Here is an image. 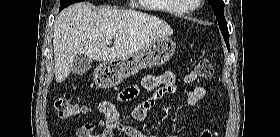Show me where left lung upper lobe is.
Returning <instances> with one entry per match:
<instances>
[{
    "label": "left lung upper lobe",
    "mask_w": 280,
    "mask_h": 137,
    "mask_svg": "<svg viewBox=\"0 0 280 137\" xmlns=\"http://www.w3.org/2000/svg\"><path fill=\"white\" fill-rule=\"evenodd\" d=\"M209 4L212 5V10L216 16V19L219 24V28L225 40L228 50H230L229 45V33L227 28V22L224 17V2L223 0H208Z\"/></svg>",
    "instance_id": "left-lung-upper-lobe-1"
}]
</instances>
